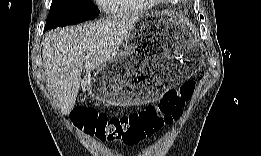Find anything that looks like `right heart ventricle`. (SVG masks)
Returning a JSON list of instances; mask_svg holds the SVG:
<instances>
[{
    "label": "right heart ventricle",
    "mask_w": 261,
    "mask_h": 156,
    "mask_svg": "<svg viewBox=\"0 0 261 156\" xmlns=\"http://www.w3.org/2000/svg\"><path fill=\"white\" fill-rule=\"evenodd\" d=\"M131 0H104V6L113 11H124L129 8Z\"/></svg>",
    "instance_id": "1"
}]
</instances>
